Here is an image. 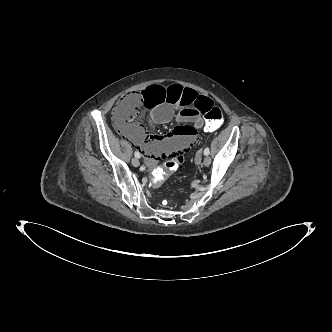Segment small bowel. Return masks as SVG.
I'll return each instance as SVG.
<instances>
[{
	"mask_svg": "<svg viewBox=\"0 0 332 332\" xmlns=\"http://www.w3.org/2000/svg\"><path fill=\"white\" fill-rule=\"evenodd\" d=\"M141 103L150 112V122L154 125L168 123L174 117L181 122L174 126L172 132L162 135L147 134L137 123L122 127L115 124L119 133L143 152L149 166L156 165L163 158L178 159L186 149L194 146L198 139L197 129L203 128L202 114L213 105L209 97L179 84L167 87L151 84L143 90ZM175 109H179L177 114Z\"/></svg>",
	"mask_w": 332,
	"mask_h": 332,
	"instance_id": "small-bowel-1",
	"label": "small bowel"
}]
</instances>
